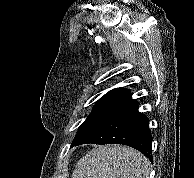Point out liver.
Returning <instances> with one entry per match:
<instances>
[{"label":"liver","mask_w":194,"mask_h":178,"mask_svg":"<svg viewBox=\"0 0 194 178\" xmlns=\"http://www.w3.org/2000/svg\"><path fill=\"white\" fill-rule=\"evenodd\" d=\"M150 162L139 151L123 145H101L76 164L71 178H149Z\"/></svg>","instance_id":"obj_1"}]
</instances>
